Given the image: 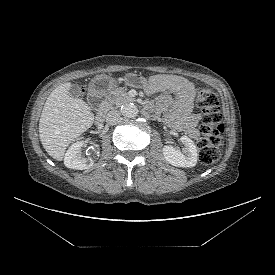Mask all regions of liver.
<instances>
[{
  "instance_id": "obj_1",
  "label": "liver",
  "mask_w": 275,
  "mask_h": 275,
  "mask_svg": "<svg viewBox=\"0 0 275 275\" xmlns=\"http://www.w3.org/2000/svg\"><path fill=\"white\" fill-rule=\"evenodd\" d=\"M71 83L56 87L48 96L39 121L40 141L55 160H63L66 148L94 123L90 106L69 94Z\"/></svg>"
}]
</instances>
